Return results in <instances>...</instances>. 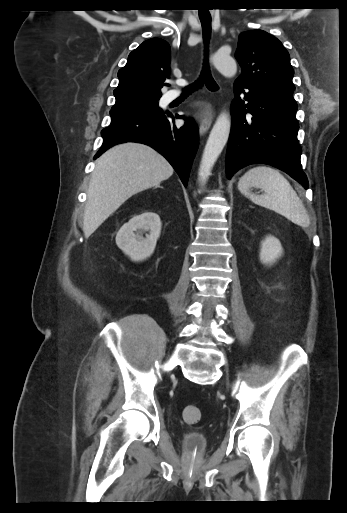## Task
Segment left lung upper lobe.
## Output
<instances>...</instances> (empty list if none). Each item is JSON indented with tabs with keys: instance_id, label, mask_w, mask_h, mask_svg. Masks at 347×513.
Wrapping results in <instances>:
<instances>
[{
	"instance_id": "5c2ea615",
	"label": "left lung upper lobe",
	"mask_w": 347,
	"mask_h": 513,
	"mask_svg": "<svg viewBox=\"0 0 347 513\" xmlns=\"http://www.w3.org/2000/svg\"><path fill=\"white\" fill-rule=\"evenodd\" d=\"M235 57L242 68L235 83L295 88L289 53L277 38L267 32L259 29L242 32Z\"/></svg>"
}]
</instances>
